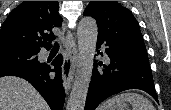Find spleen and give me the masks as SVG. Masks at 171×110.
<instances>
[{"mask_svg": "<svg viewBox=\"0 0 171 110\" xmlns=\"http://www.w3.org/2000/svg\"><path fill=\"white\" fill-rule=\"evenodd\" d=\"M122 102H130L132 110H155L153 104L143 95L126 92L108 99L99 107V110H118L117 106Z\"/></svg>", "mask_w": 171, "mask_h": 110, "instance_id": "spleen-1", "label": "spleen"}]
</instances>
